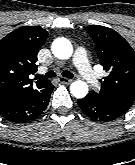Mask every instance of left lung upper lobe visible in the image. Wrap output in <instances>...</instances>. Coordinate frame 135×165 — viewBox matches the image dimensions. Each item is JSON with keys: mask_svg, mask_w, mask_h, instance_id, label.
Wrapping results in <instances>:
<instances>
[{"mask_svg": "<svg viewBox=\"0 0 135 165\" xmlns=\"http://www.w3.org/2000/svg\"><path fill=\"white\" fill-rule=\"evenodd\" d=\"M85 29L95 43L100 64L108 73L100 80V91L91 93L125 114L135 101V51L111 28L91 25Z\"/></svg>", "mask_w": 135, "mask_h": 165, "instance_id": "5c2ea615", "label": "left lung upper lobe"}]
</instances>
